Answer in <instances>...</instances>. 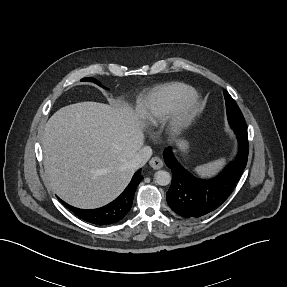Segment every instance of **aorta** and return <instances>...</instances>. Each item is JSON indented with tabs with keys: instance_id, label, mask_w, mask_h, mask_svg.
I'll return each instance as SVG.
<instances>
[{
	"instance_id": "762f6f07",
	"label": "aorta",
	"mask_w": 287,
	"mask_h": 287,
	"mask_svg": "<svg viewBox=\"0 0 287 287\" xmlns=\"http://www.w3.org/2000/svg\"><path fill=\"white\" fill-rule=\"evenodd\" d=\"M155 183L161 186H166L171 182V176L167 171L159 170L154 174Z\"/></svg>"
}]
</instances>
